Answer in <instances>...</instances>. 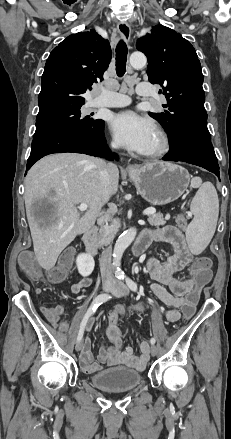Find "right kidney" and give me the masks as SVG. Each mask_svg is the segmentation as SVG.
Listing matches in <instances>:
<instances>
[{
  "instance_id": "ca27d5eb",
  "label": "right kidney",
  "mask_w": 231,
  "mask_h": 439,
  "mask_svg": "<svg viewBox=\"0 0 231 439\" xmlns=\"http://www.w3.org/2000/svg\"><path fill=\"white\" fill-rule=\"evenodd\" d=\"M76 265L78 268V272L83 277H87L93 272L95 262L91 255L82 253L77 256Z\"/></svg>"
}]
</instances>
